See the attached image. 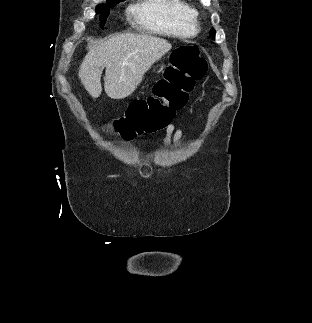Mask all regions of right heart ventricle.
I'll return each instance as SVG.
<instances>
[{"instance_id": "right-heart-ventricle-1", "label": "right heart ventricle", "mask_w": 312, "mask_h": 323, "mask_svg": "<svg viewBox=\"0 0 312 323\" xmlns=\"http://www.w3.org/2000/svg\"><path fill=\"white\" fill-rule=\"evenodd\" d=\"M125 18L136 20V25L153 33H197L199 28L198 18L186 1L134 0Z\"/></svg>"}]
</instances>
